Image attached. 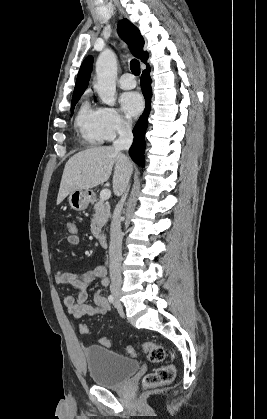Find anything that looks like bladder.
I'll list each match as a JSON object with an SVG mask.
<instances>
[{"mask_svg": "<svg viewBox=\"0 0 267 419\" xmlns=\"http://www.w3.org/2000/svg\"><path fill=\"white\" fill-rule=\"evenodd\" d=\"M88 374L98 386L116 388L124 384L139 369V362L124 357L101 345L84 349Z\"/></svg>", "mask_w": 267, "mask_h": 419, "instance_id": "31cf9c89", "label": "bladder"}]
</instances>
